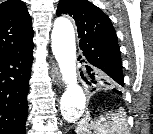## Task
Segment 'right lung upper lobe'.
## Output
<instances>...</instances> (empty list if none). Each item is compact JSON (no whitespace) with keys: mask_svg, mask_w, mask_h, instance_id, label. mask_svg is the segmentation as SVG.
<instances>
[{"mask_svg":"<svg viewBox=\"0 0 153 134\" xmlns=\"http://www.w3.org/2000/svg\"><path fill=\"white\" fill-rule=\"evenodd\" d=\"M31 17L20 0L0 4V59L33 46Z\"/></svg>","mask_w":153,"mask_h":134,"instance_id":"obj_1","label":"right lung upper lobe"}]
</instances>
